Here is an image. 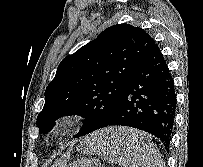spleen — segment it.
Returning <instances> with one entry per match:
<instances>
[{"label":"spleen","mask_w":203,"mask_h":167,"mask_svg":"<svg viewBox=\"0 0 203 167\" xmlns=\"http://www.w3.org/2000/svg\"><path fill=\"white\" fill-rule=\"evenodd\" d=\"M102 143H104L103 138L94 134L91 139L87 140V152L98 154L105 160L115 162L121 167H163L159 160L160 154L157 148H153L148 137L134 150L128 149L127 144L121 148H108L103 147ZM138 152H140V156Z\"/></svg>","instance_id":"obj_1"}]
</instances>
